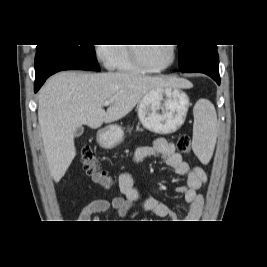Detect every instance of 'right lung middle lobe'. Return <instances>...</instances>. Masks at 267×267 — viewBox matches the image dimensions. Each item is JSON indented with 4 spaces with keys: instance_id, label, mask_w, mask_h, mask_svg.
Listing matches in <instances>:
<instances>
[{
    "instance_id": "1",
    "label": "right lung middle lobe",
    "mask_w": 267,
    "mask_h": 267,
    "mask_svg": "<svg viewBox=\"0 0 267 267\" xmlns=\"http://www.w3.org/2000/svg\"><path fill=\"white\" fill-rule=\"evenodd\" d=\"M42 49H54L66 54L73 59L87 65L95 71H99L95 49L93 45H76V44H54V45H37L36 51Z\"/></svg>"
}]
</instances>
